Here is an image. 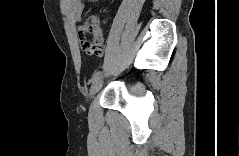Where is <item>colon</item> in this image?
Returning <instances> with one entry per match:
<instances>
[{"label": "colon", "instance_id": "obj_1", "mask_svg": "<svg viewBox=\"0 0 239 156\" xmlns=\"http://www.w3.org/2000/svg\"><path fill=\"white\" fill-rule=\"evenodd\" d=\"M79 33L84 35L90 33L94 37V42H90L86 39L82 42V48L87 53H92L97 50V45L102 41V35L98 31V24L96 18L91 15L87 20L81 25Z\"/></svg>", "mask_w": 239, "mask_h": 156}]
</instances>
